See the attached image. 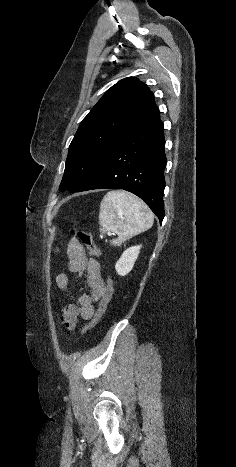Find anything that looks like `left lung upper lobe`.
Instances as JSON below:
<instances>
[{"label": "left lung upper lobe", "instance_id": "obj_1", "mask_svg": "<svg viewBox=\"0 0 236 467\" xmlns=\"http://www.w3.org/2000/svg\"><path fill=\"white\" fill-rule=\"evenodd\" d=\"M156 107L154 95L135 77L113 85L82 120L70 144L60 187L78 191L115 142Z\"/></svg>", "mask_w": 236, "mask_h": 467}]
</instances>
